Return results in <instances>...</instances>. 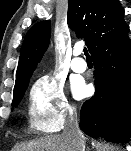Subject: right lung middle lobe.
Wrapping results in <instances>:
<instances>
[{
  "instance_id": "dd1d6c3e",
  "label": "right lung middle lobe",
  "mask_w": 131,
  "mask_h": 151,
  "mask_svg": "<svg viewBox=\"0 0 131 151\" xmlns=\"http://www.w3.org/2000/svg\"><path fill=\"white\" fill-rule=\"evenodd\" d=\"M27 87H28V84L14 90V98H13V102H12L13 107H16L20 103Z\"/></svg>"
}]
</instances>
